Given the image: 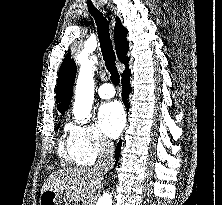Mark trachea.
Instances as JSON below:
<instances>
[{
	"label": "trachea",
	"mask_w": 222,
	"mask_h": 205,
	"mask_svg": "<svg viewBox=\"0 0 222 205\" xmlns=\"http://www.w3.org/2000/svg\"><path fill=\"white\" fill-rule=\"evenodd\" d=\"M88 11L94 17L95 22L97 24L98 38L105 66L107 70L110 72L111 75L110 78L112 83L115 86H118L120 83V76L115 63L116 56L110 38L109 22L103 16V13L100 12L95 7L89 6Z\"/></svg>",
	"instance_id": "trachea-1"
}]
</instances>
